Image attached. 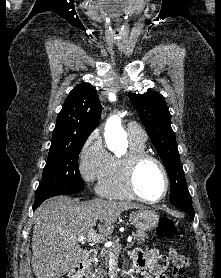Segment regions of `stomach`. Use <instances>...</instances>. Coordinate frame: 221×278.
<instances>
[{
  "instance_id": "stomach-1",
  "label": "stomach",
  "mask_w": 221,
  "mask_h": 278,
  "mask_svg": "<svg viewBox=\"0 0 221 278\" xmlns=\"http://www.w3.org/2000/svg\"><path fill=\"white\" fill-rule=\"evenodd\" d=\"M132 224L139 232L151 231L159 223L158 214L149 209H140L130 215Z\"/></svg>"
}]
</instances>
